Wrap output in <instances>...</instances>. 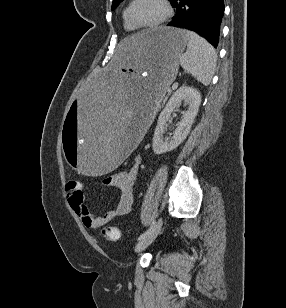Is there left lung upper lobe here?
<instances>
[{
    "label": "left lung upper lobe",
    "mask_w": 286,
    "mask_h": 308,
    "mask_svg": "<svg viewBox=\"0 0 286 308\" xmlns=\"http://www.w3.org/2000/svg\"><path fill=\"white\" fill-rule=\"evenodd\" d=\"M121 1L123 0H113V3H112V9H114ZM172 0H170L171 2Z\"/></svg>",
    "instance_id": "left-lung-upper-lobe-1"
}]
</instances>
